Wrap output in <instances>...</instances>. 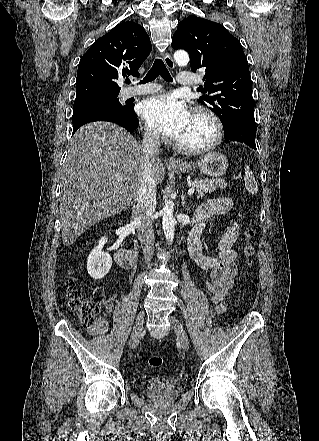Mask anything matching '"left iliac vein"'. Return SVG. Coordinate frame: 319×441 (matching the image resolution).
Returning <instances> with one entry per match:
<instances>
[{
    "label": "left iliac vein",
    "instance_id": "left-iliac-vein-1",
    "mask_svg": "<svg viewBox=\"0 0 319 441\" xmlns=\"http://www.w3.org/2000/svg\"><path fill=\"white\" fill-rule=\"evenodd\" d=\"M169 321L171 322L172 328L174 329L182 347L184 349H188L189 348V339H188L187 333H186L183 325L181 324V322L174 316H170Z\"/></svg>",
    "mask_w": 319,
    "mask_h": 441
}]
</instances>
